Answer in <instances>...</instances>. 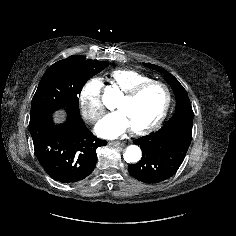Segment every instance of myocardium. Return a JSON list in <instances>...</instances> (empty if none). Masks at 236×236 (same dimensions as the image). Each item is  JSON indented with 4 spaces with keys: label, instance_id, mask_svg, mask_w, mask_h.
<instances>
[{
    "label": "myocardium",
    "instance_id": "obj_1",
    "mask_svg": "<svg viewBox=\"0 0 236 236\" xmlns=\"http://www.w3.org/2000/svg\"><path fill=\"white\" fill-rule=\"evenodd\" d=\"M152 85H159V86L163 87V89L165 90V93H166L165 105H164L160 115L153 123H151L150 125L145 126L143 128H139V129L131 128V132L135 135L149 134V133L153 132L154 130H156L162 124V122L166 118L168 111L170 109L171 102H172V94H171L170 88L168 87V85L166 83H164L160 80H154V79L140 83V84L136 85L135 87H133L131 90L122 94V97H121L122 99H124L126 101H131V100H134L135 98H137L145 89H147L148 87H150Z\"/></svg>",
    "mask_w": 236,
    "mask_h": 236
}]
</instances>
